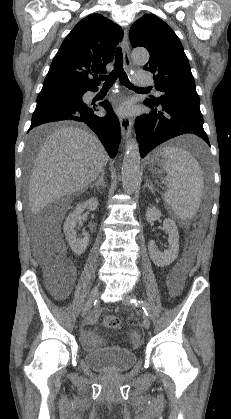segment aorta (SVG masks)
Instances as JSON below:
<instances>
[{
	"mask_svg": "<svg viewBox=\"0 0 231 419\" xmlns=\"http://www.w3.org/2000/svg\"><path fill=\"white\" fill-rule=\"evenodd\" d=\"M132 59L135 63L145 64L149 60V53L146 49H135L132 52ZM140 152L136 138H130L126 145V151L122 164V186L127 193L135 191L140 179Z\"/></svg>",
	"mask_w": 231,
	"mask_h": 419,
	"instance_id": "obj_1",
	"label": "aorta"
}]
</instances>
